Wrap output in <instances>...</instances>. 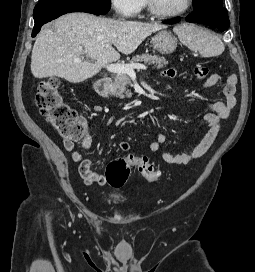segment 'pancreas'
Listing matches in <instances>:
<instances>
[{"label": "pancreas", "instance_id": "cf45deb5", "mask_svg": "<svg viewBox=\"0 0 255 272\" xmlns=\"http://www.w3.org/2000/svg\"><path fill=\"white\" fill-rule=\"evenodd\" d=\"M143 62L145 64H152L157 69H161L168 64V61L164 57L158 55L142 54L133 57L129 64H137ZM131 85L130 77L127 73H118L114 77L113 92L116 95L124 99L125 97H131L132 93L128 90V86Z\"/></svg>", "mask_w": 255, "mask_h": 272}]
</instances>
